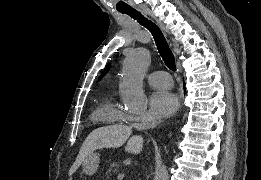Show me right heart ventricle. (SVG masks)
Returning a JSON list of instances; mask_svg holds the SVG:
<instances>
[{"label": "right heart ventricle", "instance_id": "1", "mask_svg": "<svg viewBox=\"0 0 261 180\" xmlns=\"http://www.w3.org/2000/svg\"><path fill=\"white\" fill-rule=\"evenodd\" d=\"M92 121H106V126L93 127H121L120 111L113 96L100 100L93 111Z\"/></svg>", "mask_w": 261, "mask_h": 180}]
</instances>
